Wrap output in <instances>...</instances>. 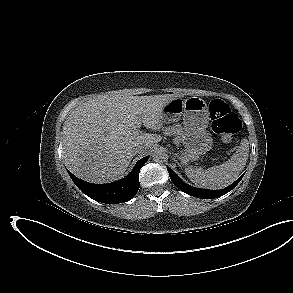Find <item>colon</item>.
<instances>
[{
    "mask_svg": "<svg viewBox=\"0 0 293 293\" xmlns=\"http://www.w3.org/2000/svg\"><path fill=\"white\" fill-rule=\"evenodd\" d=\"M212 128L226 143L232 142L242 127V122L232 109L221 99L209 102Z\"/></svg>",
    "mask_w": 293,
    "mask_h": 293,
    "instance_id": "obj_1",
    "label": "colon"
}]
</instances>
